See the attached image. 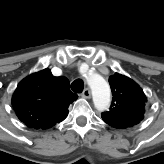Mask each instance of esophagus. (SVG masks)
Segmentation results:
<instances>
[{"label": "esophagus", "mask_w": 164, "mask_h": 164, "mask_svg": "<svg viewBox=\"0 0 164 164\" xmlns=\"http://www.w3.org/2000/svg\"><path fill=\"white\" fill-rule=\"evenodd\" d=\"M82 96H83L84 98L89 99V98L91 97V91H90V89H89V88H85V89L83 90V92H82Z\"/></svg>", "instance_id": "1"}]
</instances>
